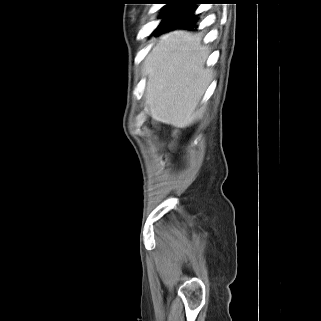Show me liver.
Returning a JSON list of instances; mask_svg holds the SVG:
<instances>
[{
  "mask_svg": "<svg viewBox=\"0 0 321 321\" xmlns=\"http://www.w3.org/2000/svg\"><path fill=\"white\" fill-rule=\"evenodd\" d=\"M208 56L199 33L175 30L154 42L143 63L145 104L154 120L185 128L202 116L212 78Z\"/></svg>",
  "mask_w": 321,
  "mask_h": 321,
  "instance_id": "liver-1",
  "label": "liver"
}]
</instances>
